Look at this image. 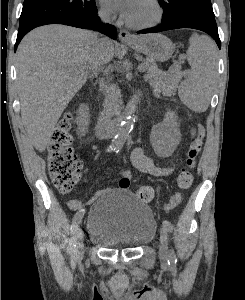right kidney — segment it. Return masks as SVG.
Returning a JSON list of instances; mask_svg holds the SVG:
<instances>
[{"label":"right kidney","instance_id":"1","mask_svg":"<svg viewBox=\"0 0 245 300\" xmlns=\"http://www.w3.org/2000/svg\"><path fill=\"white\" fill-rule=\"evenodd\" d=\"M78 115H79L77 117V124L79 125L78 134L80 136H83L88 131V125L90 122V114H89L88 106L85 104H82L79 107Z\"/></svg>","mask_w":245,"mask_h":300}]
</instances>
